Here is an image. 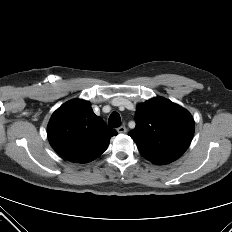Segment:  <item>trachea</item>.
<instances>
[{
    "mask_svg": "<svg viewBox=\"0 0 232 232\" xmlns=\"http://www.w3.org/2000/svg\"><path fill=\"white\" fill-rule=\"evenodd\" d=\"M108 124L112 128H117V127L121 126L120 115L117 112L111 113L109 120H108Z\"/></svg>",
    "mask_w": 232,
    "mask_h": 232,
    "instance_id": "obj_1",
    "label": "trachea"
}]
</instances>
